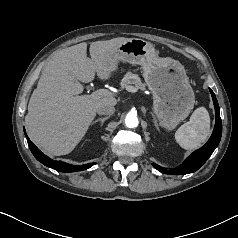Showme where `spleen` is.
<instances>
[{"instance_id": "obj_1", "label": "spleen", "mask_w": 238, "mask_h": 238, "mask_svg": "<svg viewBox=\"0 0 238 238\" xmlns=\"http://www.w3.org/2000/svg\"><path fill=\"white\" fill-rule=\"evenodd\" d=\"M210 117L205 107L197 108L188 122L175 133L176 142L186 150L200 147L210 135Z\"/></svg>"}]
</instances>
